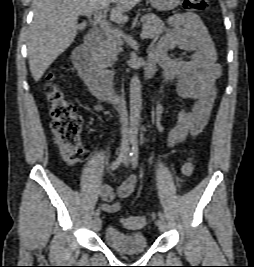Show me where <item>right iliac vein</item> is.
<instances>
[{
    "mask_svg": "<svg viewBox=\"0 0 254 267\" xmlns=\"http://www.w3.org/2000/svg\"><path fill=\"white\" fill-rule=\"evenodd\" d=\"M119 156H121L123 154V150L121 149L119 152ZM101 226H102V222H101V219L100 218H96L94 221H93V229L95 231H99L101 229Z\"/></svg>",
    "mask_w": 254,
    "mask_h": 267,
    "instance_id": "1",
    "label": "right iliac vein"
}]
</instances>
